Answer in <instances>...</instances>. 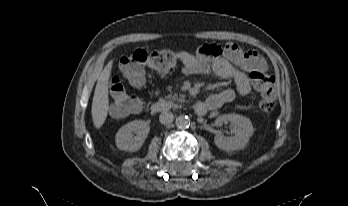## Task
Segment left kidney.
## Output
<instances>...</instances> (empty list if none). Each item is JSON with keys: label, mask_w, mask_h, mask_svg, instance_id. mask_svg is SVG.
<instances>
[{"label": "left kidney", "mask_w": 348, "mask_h": 206, "mask_svg": "<svg viewBox=\"0 0 348 206\" xmlns=\"http://www.w3.org/2000/svg\"><path fill=\"white\" fill-rule=\"evenodd\" d=\"M228 122L235 126V135L226 137L221 132H218L214 138L216 146L227 152L244 148L253 134V126L250 119L239 114H225L215 120V125L221 126L223 123Z\"/></svg>", "instance_id": "obj_1"}]
</instances>
